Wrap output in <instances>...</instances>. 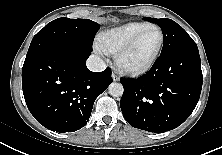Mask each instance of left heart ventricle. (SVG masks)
<instances>
[{
	"label": "left heart ventricle",
	"instance_id": "b2bd125f",
	"mask_svg": "<svg viewBox=\"0 0 222 155\" xmlns=\"http://www.w3.org/2000/svg\"><path fill=\"white\" fill-rule=\"evenodd\" d=\"M160 43V34L153 29L147 32L136 46L124 57L127 67L138 68L146 65L154 56Z\"/></svg>",
	"mask_w": 222,
	"mask_h": 155
}]
</instances>
